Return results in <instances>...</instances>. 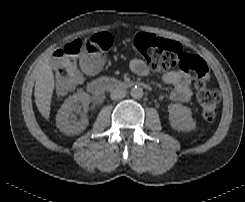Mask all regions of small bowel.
Segmentation results:
<instances>
[{
	"label": "small bowel",
	"mask_w": 245,
	"mask_h": 202,
	"mask_svg": "<svg viewBox=\"0 0 245 202\" xmlns=\"http://www.w3.org/2000/svg\"><path fill=\"white\" fill-rule=\"evenodd\" d=\"M87 71L91 74L98 73L102 63L96 59L85 61ZM130 70L133 74L144 77L149 73L147 65L141 59H133L130 62ZM163 81L171 85L173 90L170 93V99L178 102H187L193 96V89L190 76L178 69L170 70L163 75Z\"/></svg>",
	"instance_id": "small-bowel-1"
}]
</instances>
